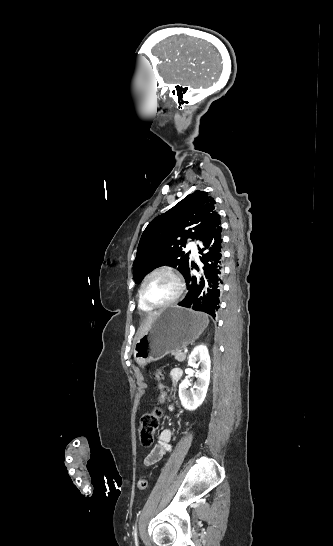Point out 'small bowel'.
<instances>
[{"label": "small bowel", "mask_w": 333, "mask_h": 546, "mask_svg": "<svg viewBox=\"0 0 333 546\" xmlns=\"http://www.w3.org/2000/svg\"><path fill=\"white\" fill-rule=\"evenodd\" d=\"M183 375V372L179 368H174L170 371V381L176 385L179 383ZM173 409V407H171ZM173 432L170 428H164L160 431L158 441L153 449L144 458V464L146 466L153 465L161 460V458L172 451Z\"/></svg>", "instance_id": "small-bowel-1"}]
</instances>
